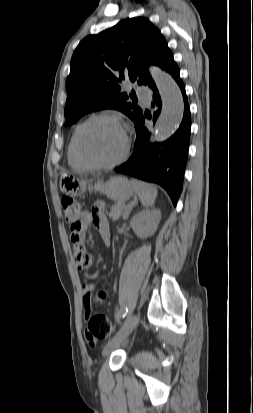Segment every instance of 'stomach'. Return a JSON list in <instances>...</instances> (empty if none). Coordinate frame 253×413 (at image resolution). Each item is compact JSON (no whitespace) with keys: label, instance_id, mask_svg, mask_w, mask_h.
<instances>
[{"label":"stomach","instance_id":"1","mask_svg":"<svg viewBox=\"0 0 253 413\" xmlns=\"http://www.w3.org/2000/svg\"><path fill=\"white\" fill-rule=\"evenodd\" d=\"M59 185L61 192L71 197L80 196L86 190H94L118 203L129 200L134 194L131 183L123 176H113L107 182L98 181L93 186L80 177L65 173L61 176Z\"/></svg>","mask_w":253,"mask_h":413}]
</instances>
